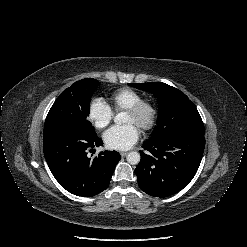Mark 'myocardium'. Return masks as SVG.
I'll return each mask as SVG.
<instances>
[{
	"label": "myocardium",
	"mask_w": 247,
	"mask_h": 247,
	"mask_svg": "<svg viewBox=\"0 0 247 247\" xmlns=\"http://www.w3.org/2000/svg\"><path fill=\"white\" fill-rule=\"evenodd\" d=\"M126 111L141 116L146 114L144 119L139 123V127L143 130H150L154 127L157 117H158V109L156 104L149 99H141L134 103L133 105L126 108Z\"/></svg>",
	"instance_id": "f54148a6"
}]
</instances>
